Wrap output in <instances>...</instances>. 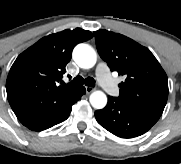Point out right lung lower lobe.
I'll use <instances>...</instances> for the list:
<instances>
[{"instance_id":"obj_1","label":"right lung lower lobe","mask_w":181,"mask_h":164,"mask_svg":"<svg viewBox=\"0 0 181 164\" xmlns=\"http://www.w3.org/2000/svg\"><path fill=\"white\" fill-rule=\"evenodd\" d=\"M86 93L84 87H79L67 99L46 110H33L15 113L19 121L33 131H42L65 121L71 112V107Z\"/></svg>"}]
</instances>
